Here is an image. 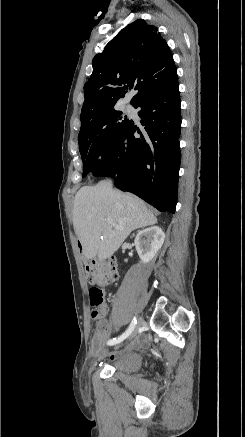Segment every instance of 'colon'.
<instances>
[{"mask_svg": "<svg viewBox=\"0 0 245 437\" xmlns=\"http://www.w3.org/2000/svg\"><path fill=\"white\" fill-rule=\"evenodd\" d=\"M85 273L89 289L90 303L93 307H100L104 302L103 288L113 284L118 279L117 262L115 259H106L101 261L92 260L86 263ZM100 313L98 310L92 312V318L98 319Z\"/></svg>", "mask_w": 245, "mask_h": 437, "instance_id": "5ec220e1", "label": "colon"}]
</instances>
